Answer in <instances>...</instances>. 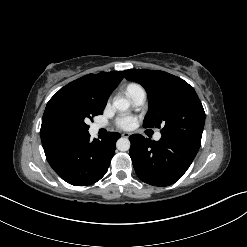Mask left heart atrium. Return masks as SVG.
<instances>
[{
	"label": "left heart atrium",
	"mask_w": 247,
	"mask_h": 247,
	"mask_svg": "<svg viewBox=\"0 0 247 247\" xmlns=\"http://www.w3.org/2000/svg\"><path fill=\"white\" fill-rule=\"evenodd\" d=\"M134 119L129 116H122L118 119V125L124 129H129L133 126Z\"/></svg>",
	"instance_id": "1"
}]
</instances>
